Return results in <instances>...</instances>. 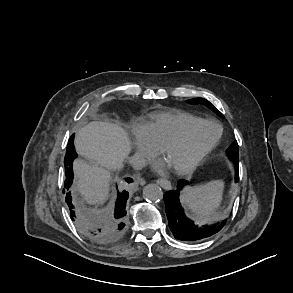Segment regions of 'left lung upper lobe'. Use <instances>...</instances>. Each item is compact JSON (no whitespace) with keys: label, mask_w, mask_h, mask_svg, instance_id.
<instances>
[{"label":"left lung upper lobe","mask_w":293,"mask_h":293,"mask_svg":"<svg viewBox=\"0 0 293 293\" xmlns=\"http://www.w3.org/2000/svg\"><path fill=\"white\" fill-rule=\"evenodd\" d=\"M189 103L191 104H204L207 107H209L211 110L216 112L218 115L223 117V114L217 110L209 101H207L204 98H195V99H190ZM227 155L233 160V162H238L239 161V147L237 141L233 142L230 147L227 149Z\"/></svg>","instance_id":"5c2ea615"}]
</instances>
